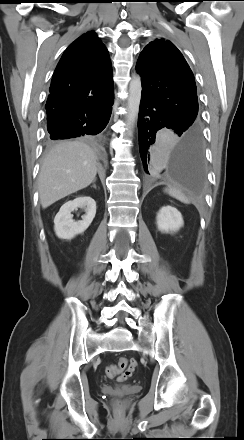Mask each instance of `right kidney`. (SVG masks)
Masks as SVG:
<instances>
[{
  "instance_id": "obj_1",
  "label": "right kidney",
  "mask_w": 244,
  "mask_h": 440,
  "mask_svg": "<svg viewBox=\"0 0 244 440\" xmlns=\"http://www.w3.org/2000/svg\"><path fill=\"white\" fill-rule=\"evenodd\" d=\"M78 208L84 209L86 214L80 221H74L71 214ZM96 214V202L89 196L77 197L66 202L54 218V230L58 238L71 240L82 234L91 224Z\"/></svg>"
}]
</instances>
